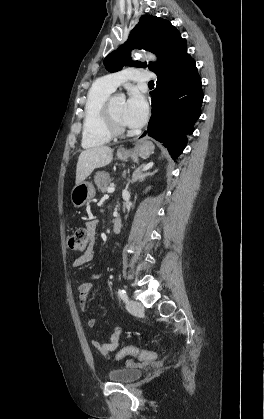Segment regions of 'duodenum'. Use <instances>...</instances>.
Listing matches in <instances>:
<instances>
[{"mask_svg": "<svg viewBox=\"0 0 264 419\" xmlns=\"http://www.w3.org/2000/svg\"><path fill=\"white\" fill-rule=\"evenodd\" d=\"M121 228H122L121 219L117 217L112 221V231L114 233H119Z\"/></svg>", "mask_w": 264, "mask_h": 419, "instance_id": "410a0bca", "label": "duodenum"}]
</instances>
